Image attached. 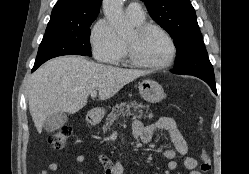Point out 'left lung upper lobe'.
Returning a JSON list of instances; mask_svg holds the SVG:
<instances>
[{"instance_id":"1","label":"left lung upper lobe","mask_w":249,"mask_h":174,"mask_svg":"<svg viewBox=\"0 0 249 174\" xmlns=\"http://www.w3.org/2000/svg\"><path fill=\"white\" fill-rule=\"evenodd\" d=\"M152 19L176 46L175 73L214 76L190 0H142Z\"/></svg>"}]
</instances>
